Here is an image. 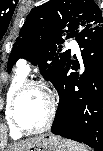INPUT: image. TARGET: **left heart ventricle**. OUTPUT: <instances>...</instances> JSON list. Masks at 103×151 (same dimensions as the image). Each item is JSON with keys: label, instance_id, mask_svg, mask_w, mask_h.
I'll use <instances>...</instances> for the list:
<instances>
[{"label": "left heart ventricle", "instance_id": "1", "mask_svg": "<svg viewBox=\"0 0 103 151\" xmlns=\"http://www.w3.org/2000/svg\"><path fill=\"white\" fill-rule=\"evenodd\" d=\"M48 116V101L45 94L36 88L27 90L18 100L16 117L27 129H37L44 125Z\"/></svg>", "mask_w": 103, "mask_h": 151}]
</instances>
